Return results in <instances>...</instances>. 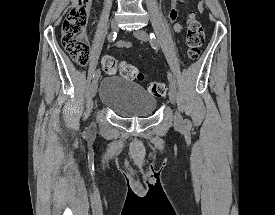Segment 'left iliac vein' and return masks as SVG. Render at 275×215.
I'll return each instance as SVG.
<instances>
[{"instance_id":"obj_1","label":"left iliac vein","mask_w":275,"mask_h":215,"mask_svg":"<svg viewBox=\"0 0 275 215\" xmlns=\"http://www.w3.org/2000/svg\"><path fill=\"white\" fill-rule=\"evenodd\" d=\"M133 34L135 35V37H137L141 41L149 40V36H148L147 32L144 31L143 29L135 30V31H133ZM169 98L173 104H175L177 102L176 87L172 83H170V85H169ZM183 123H184V121H183L182 116L180 115L179 112H176L175 117H174L175 126L180 128V127H182Z\"/></svg>"}]
</instances>
